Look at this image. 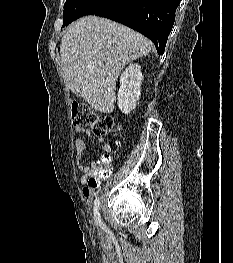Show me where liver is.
I'll return each mask as SVG.
<instances>
[{
	"mask_svg": "<svg viewBox=\"0 0 233 263\" xmlns=\"http://www.w3.org/2000/svg\"><path fill=\"white\" fill-rule=\"evenodd\" d=\"M151 47L149 39L129 27L97 16L82 17L65 29L61 39L66 86L96 111L111 113L121 70Z\"/></svg>",
	"mask_w": 233,
	"mask_h": 263,
	"instance_id": "6515ba94",
	"label": "liver"
}]
</instances>
